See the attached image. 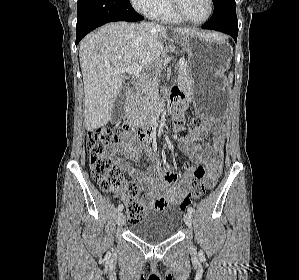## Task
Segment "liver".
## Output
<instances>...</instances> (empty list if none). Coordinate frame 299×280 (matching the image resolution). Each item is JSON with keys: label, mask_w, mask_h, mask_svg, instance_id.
<instances>
[{"label": "liver", "mask_w": 299, "mask_h": 280, "mask_svg": "<svg viewBox=\"0 0 299 280\" xmlns=\"http://www.w3.org/2000/svg\"><path fill=\"white\" fill-rule=\"evenodd\" d=\"M181 35L201 33L191 28H171ZM168 28L152 23H109L88 34L80 43L79 59L84 84V126L93 131L105 126L114 102L124 87V74L107 69H125L134 63L148 68L163 51Z\"/></svg>", "instance_id": "obj_1"}]
</instances>
